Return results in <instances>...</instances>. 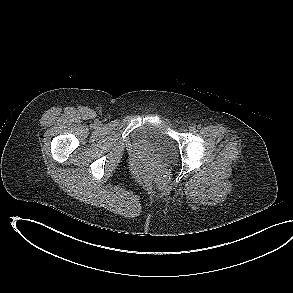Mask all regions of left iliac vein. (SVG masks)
Returning <instances> with one entry per match:
<instances>
[{"mask_svg":"<svg viewBox=\"0 0 293 293\" xmlns=\"http://www.w3.org/2000/svg\"><path fill=\"white\" fill-rule=\"evenodd\" d=\"M189 131H190L191 133L195 132V131H196L195 126H191V127H189Z\"/></svg>","mask_w":293,"mask_h":293,"instance_id":"4c4485c4","label":"left iliac vein"}]
</instances>
